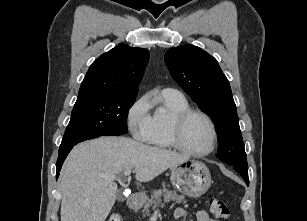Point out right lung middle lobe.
I'll return each mask as SVG.
<instances>
[{"label":"right lung middle lobe","instance_id":"dd1d6c3e","mask_svg":"<svg viewBox=\"0 0 307 221\" xmlns=\"http://www.w3.org/2000/svg\"><path fill=\"white\" fill-rule=\"evenodd\" d=\"M137 94H110L75 103L59 152L99 136L127 133L128 111Z\"/></svg>","mask_w":307,"mask_h":221}]
</instances>
